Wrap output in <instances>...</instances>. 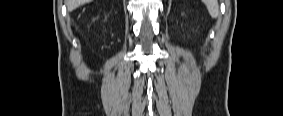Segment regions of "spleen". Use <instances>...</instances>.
<instances>
[{"mask_svg":"<svg viewBox=\"0 0 283 116\" xmlns=\"http://www.w3.org/2000/svg\"><path fill=\"white\" fill-rule=\"evenodd\" d=\"M207 10L212 18H217L219 15V6L217 0H207L205 1Z\"/></svg>","mask_w":283,"mask_h":116,"instance_id":"obj_1","label":"spleen"}]
</instances>
